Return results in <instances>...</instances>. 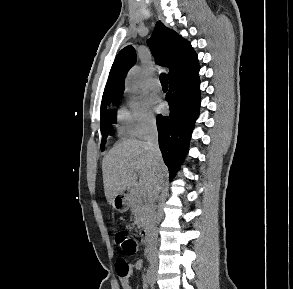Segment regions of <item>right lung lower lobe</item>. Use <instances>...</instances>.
I'll use <instances>...</instances> for the list:
<instances>
[{
	"label": "right lung lower lobe",
	"mask_w": 293,
	"mask_h": 289,
	"mask_svg": "<svg viewBox=\"0 0 293 289\" xmlns=\"http://www.w3.org/2000/svg\"><path fill=\"white\" fill-rule=\"evenodd\" d=\"M169 116H157L159 147L170 172H177L189 146L195 120L199 116L200 81L197 74L191 79L170 83L166 95Z\"/></svg>",
	"instance_id": "obj_1"
}]
</instances>
